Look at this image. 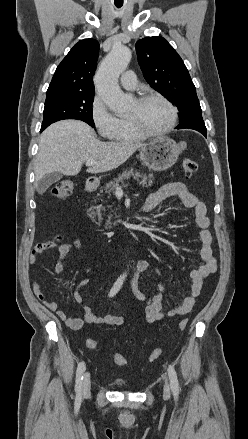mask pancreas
<instances>
[{"label":"pancreas","instance_id":"cf45deb5","mask_svg":"<svg viewBox=\"0 0 248 439\" xmlns=\"http://www.w3.org/2000/svg\"><path fill=\"white\" fill-rule=\"evenodd\" d=\"M130 177H133L135 180L141 179V183L144 187H148L152 185L153 175L149 174L142 175L139 171L134 170L133 168L126 169L123 171L122 174L118 175L117 178H115L113 181H110L106 186L104 187L105 193H111L113 191V188L119 186V183H123L124 180L129 179ZM111 217V216H110ZM109 217V218H110ZM118 221H115L114 224H116ZM111 222L108 220L105 223V228H111Z\"/></svg>","mask_w":248,"mask_h":439}]
</instances>
